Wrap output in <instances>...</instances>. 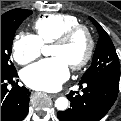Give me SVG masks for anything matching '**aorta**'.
Masks as SVG:
<instances>
[{
    "instance_id": "1",
    "label": "aorta",
    "mask_w": 121,
    "mask_h": 121,
    "mask_svg": "<svg viewBox=\"0 0 121 121\" xmlns=\"http://www.w3.org/2000/svg\"><path fill=\"white\" fill-rule=\"evenodd\" d=\"M41 52L44 56H49L51 54V46L44 45L41 49ZM69 101L65 97H59L55 101V107L60 110L64 111L68 108Z\"/></svg>"
}]
</instances>
